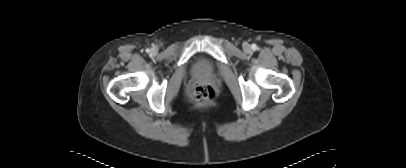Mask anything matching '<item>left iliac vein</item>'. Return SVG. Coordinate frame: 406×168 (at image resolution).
I'll list each match as a JSON object with an SVG mask.
<instances>
[{"label":"left iliac vein","instance_id":"obj_1","mask_svg":"<svg viewBox=\"0 0 406 168\" xmlns=\"http://www.w3.org/2000/svg\"><path fill=\"white\" fill-rule=\"evenodd\" d=\"M244 51L247 52V53H249V52L251 51L250 45L245 44V45H244Z\"/></svg>","mask_w":406,"mask_h":168}]
</instances>
